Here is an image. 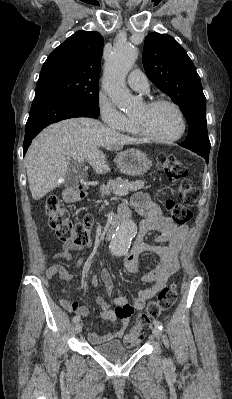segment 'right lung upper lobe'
<instances>
[{
    "mask_svg": "<svg viewBox=\"0 0 232 399\" xmlns=\"http://www.w3.org/2000/svg\"><path fill=\"white\" fill-rule=\"evenodd\" d=\"M103 44L98 32L77 31L48 56L38 81L63 77L98 83Z\"/></svg>",
    "mask_w": 232,
    "mask_h": 399,
    "instance_id": "cb5924a9",
    "label": "right lung upper lobe"
}]
</instances>
